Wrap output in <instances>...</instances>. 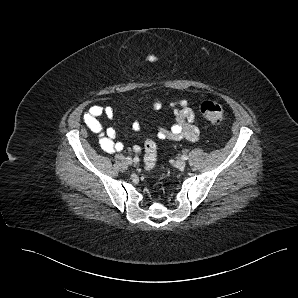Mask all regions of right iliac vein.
Segmentation results:
<instances>
[{
  "mask_svg": "<svg viewBox=\"0 0 298 298\" xmlns=\"http://www.w3.org/2000/svg\"><path fill=\"white\" fill-rule=\"evenodd\" d=\"M126 162H127L128 164H132V163H133V160H132L131 157H127V158H126Z\"/></svg>",
  "mask_w": 298,
  "mask_h": 298,
  "instance_id": "right-iliac-vein-1",
  "label": "right iliac vein"
}]
</instances>
